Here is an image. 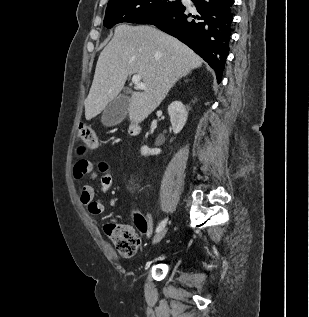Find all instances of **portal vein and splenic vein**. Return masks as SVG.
I'll return each mask as SVG.
<instances>
[{"label": "portal vein and splenic vein", "mask_w": 309, "mask_h": 317, "mask_svg": "<svg viewBox=\"0 0 309 317\" xmlns=\"http://www.w3.org/2000/svg\"><path fill=\"white\" fill-rule=\"evenodd\" d=\"M132 82L134 83L136 88H139L141 90L146 89V85L141 81V76L138 74H134L132 76Z\"/></svg>", "instance_id": "18ae733b"}]
</instances>
